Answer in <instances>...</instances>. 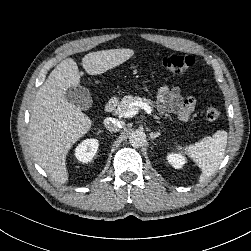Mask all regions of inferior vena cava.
Instances as JSON below:
<instances>
[{
  "instance_id": "obj_1",
  "label": "inferior vena cava",
  "mask_w": 251,
  "mask_h": 251,
  "mask_svg": "<svg viewBox=\"0 0 251 251\" xmlns=\"http://www.w3.org/2000/svg\"><path fill=\"white\" fill-rule=\"evenodd\" d=\"M104 125L107 130H109L111 132H117L122 128L123 122L115 120V119H113V120L112 119H105Z\"/></svg>"
}]
</instances>
